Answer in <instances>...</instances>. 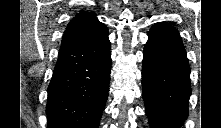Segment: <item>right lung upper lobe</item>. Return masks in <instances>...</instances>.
<instances>
[{"label":"right lung upper lobe","mask_w":221,"mask_h":128,"mask_svg":"<svg viewBox=\"0 0 221 128\" xmlns=\"http://www.w3.org/2000/svg\"><path fill=\"white\" fill-rule=\"evenodd\" d=\"M108 34V29L97 20L94 13L77 14L68 24L61 48L94 44Z\"/></svg>","instance_id":"right-lung-upper-lobe-1"}]
</instances>
